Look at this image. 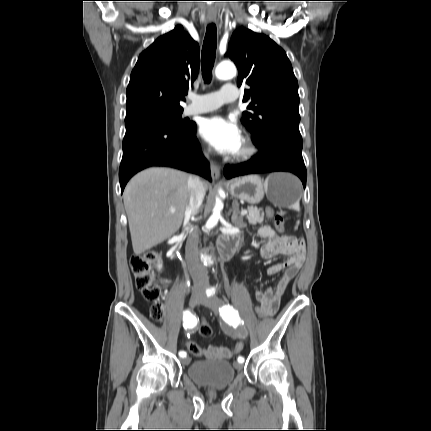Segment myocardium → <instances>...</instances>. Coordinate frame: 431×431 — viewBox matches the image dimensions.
I'll return each mask as SVG.
<instances>
[{
    "instance_id": "myocardium-1",
    "label": "myocardium",
    "mask_w": 431,
    "mask_h": 431,
    "mask_svg": "<svg viewBox=\"0 0 431 431\" xmlns=\"http://www.w3.org/2000/svg\"><path fill=\"white\" fill-rule=\"evenodd\" d=\"M258 152V148L249 136H246L242 141L241 149L236 153L234 159L237 162H245L252 159Z\"/></svg>"
}]
</instances>
